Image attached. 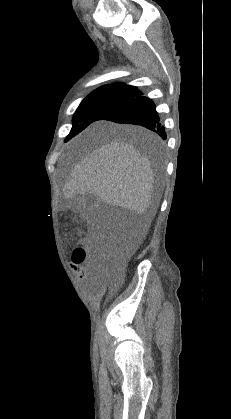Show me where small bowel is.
Here are the masks:
<instances>
[{
    "instance_id": "c3829d8e",
    "label": "small bowel",
    "mask_w": 231,
    "mask_h": 419,
    "mask_svg": "<svg viewBox=\"0 0 231 419\" xmlns=\"http://www.w3.org/2000/svg\"><path fill=\"white\" fill-rule=\"evenodd\" d=\"M78 276H79V278H80L81 281H86V279L88 277L87 271L84 270V269H80L78 271Z\"/></svg>"
}]
</instances>
